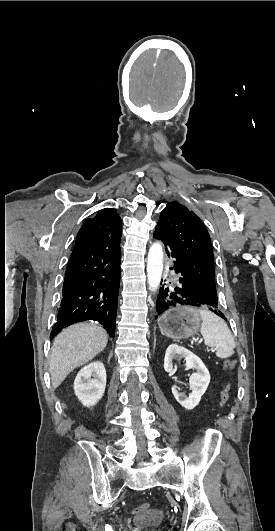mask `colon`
Returning a JSON list of instances; mask_svg holds the SVG:
<instances>
[{
  "mask_svg": "<svg viewBox=\"0 0 275 531\" xmlns=\"http://www.w3.org/2000/svg\"><path fill=\"white\" fill-rule=\"evenodd\" d=\"M224 367H225L226 372H232L235 369V367H236V362L234 360H226L225 364H224ZM230 400H231V397H230V386H229V384H226L221 389L220 404L223 405V406H226V405H228ZM148 508H149L148 504L142 503V504H139L135 508V511L138 512V513H143V512H146L148 510Z\"/></svg>",
  "mask_w": 275,
  "mask_h": 531,
  "instance_id": "1",
  "label": "colon"
}]
</instances>
